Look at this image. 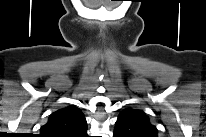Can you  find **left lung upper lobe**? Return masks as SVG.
<instances>
[{
	"instance_id": "5c2ea615",
	"label": "left lung upper lobe",
	"mask_w": 206,
	"mask_h": 137,
	"mask_svg": "<svg viewBox=\"0 0 206 137\" xmlns=\"http://www.w3.org/2000/svg\"><path fill=\"white\" fill-rule=\"evenodd\" d=\"M114 132L124 137H157V128L138 109L126 108L118 116Z\"/></svg>"
}]
</instances>
